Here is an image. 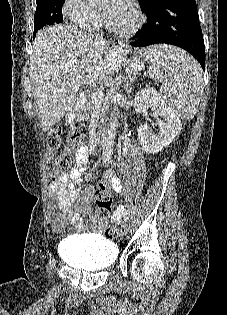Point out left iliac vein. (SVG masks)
I'll use <instances>...</instances> for the list:
<instances>
[{
    "label": "left iliac vein",
    "instance_id": "4c4485c4",
    "mask_svg": "<svg viewBox=\"0 0 227 315\" xmlns=\"http://www.w3.org/2000/svg\"><path fill=\"white\" fill-rule=\"evenodd\" d=\"M129 230V225L127 223H123L121 228V235H126Z\"/></svg>",
    "mask_w": 227,
    "mask_h": 315
}]
</instances>
